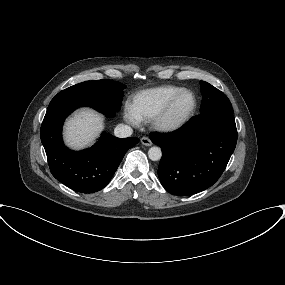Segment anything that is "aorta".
Listing matches in <instances>:
<instances>
[{
	"label": "aorta",
	"instance_id": "obj_1",
	"mask_svg": "<svg viewBox=\"0 0 285 285\" xmlns=\"http://www.w3.org/2000/svg\"><path fill=\"white\" fill-rule=\"evenodd\" d=\"M148 156L152 161H158L161 159L162 151L159 147H156V146L151 147L148 150Z\"/></svg>",
	"mask_w": 285,
	"mask_h": 285
}]
</instances>
